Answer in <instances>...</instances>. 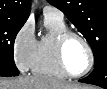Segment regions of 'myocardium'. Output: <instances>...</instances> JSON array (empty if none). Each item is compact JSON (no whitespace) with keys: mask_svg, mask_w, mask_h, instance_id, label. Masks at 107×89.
<instances>
[{"mask_svg":"<svg viewBox=\"0 0 107 89\" xmlns=\"http://www.w3.org/2000/svg\"><path fill=\"white\" fill-rule=\"evenodd\" d=\"M71 38L79 39L85 45L88 55H89V63H88L87 68L83 72L78 73V74L71 73L68 70L66 62H65V47H66L67 42ZM55 53H56L58 64L61 70L65 73L67 77H70V78L83 77L87 73H89L94 66L95 59H94V53H93L92 47L90 43L88 42V40L82 34L78 32L67 29L61 32L60 34H58L55 40Z\"/></svg>","mask_w":107,"mask_h":89,"instance_id":"myocardium-1","label":"myocardium"}]
</instances>
